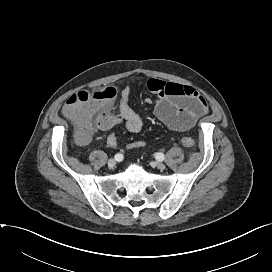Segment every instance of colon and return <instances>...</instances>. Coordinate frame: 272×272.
I'll return each mask as SVG.
<instances>
[{"label":"colon","mask_w":272,"mask_h":272,"mask_svg":"<svg viewBox=\"0 0 272 272\" xmlns=\"http://www.w3.org/2000/svg\"><path fill=\"white\" fill-rule=\"evenodd\" d=\"M115 96L116 91L112 87H107L79 91L67 99L63 112L74 124L79 142L85 143L90 139L99 118L96 119V115L108 109ZM181 142L188 148L195 145V140L191 137H183Z\"/></svg>","instance_id":"obj_1"}]
</instances>
